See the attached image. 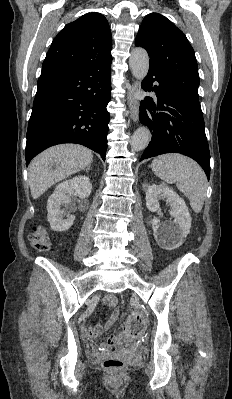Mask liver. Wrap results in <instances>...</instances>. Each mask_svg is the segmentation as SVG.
<instances>
[{
	"label": "liver",
	"mask_w": 232,
	"mask_h": 399,
	"mask_svg": "<svg viewBox=\"0 0 232 399\" xmlns=\"http://www.w3.org/2000/svg\"><path fill=\"white\" fill-rule=\"evenodd\" d=\"M92 160L91 150L75 144L53 146L36 156L29 166V186L33 200L40 198L53 184L84 170Z\"/></svg>",
	"instance_id": "6515ba94"
}]
</instances>
